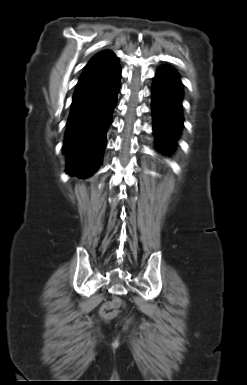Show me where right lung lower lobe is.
I'll list each match as a JSON object with an SVG mask.
<instances>
[{
  "label": "right lung lower lobe",
  "instance_id": "1",
  "mask_svg": "<svg viewBox=\"0 0 247 385\" xmlns=\"http://www.w3.org/2000/svg\"><path fill=\"white\" fill-rule=\"evenodd\" d=\"M118 62L80 77L71 104L64 140L66 171L92 175L101 163L106 134L120 89Z\"/></svg>",
  "mask_w": 247,
  "mask_h": 385
}]
</instances>
